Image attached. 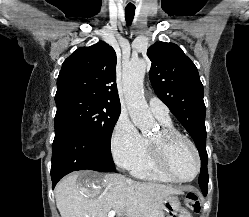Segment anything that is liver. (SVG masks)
<instances>
[{"instance_id": "obj_1", "label": "liver", "mask_w": 249, "mask_h": 217, "mask_svg": "<svg viewBox=\"0 0 249 217\" xmlns=\"http://www.w3.org/2000/svg\"><path fill=\"white\" fill-rule=\"evenodd\" d=\"M86 178V187L77 179ZM179 189L151 182H137L118 174L84 171L63 178L55 188L61 217H107L116 210L126 217H164L162 202Z\"/></svg>"}]
</instances>
